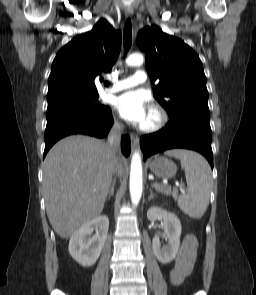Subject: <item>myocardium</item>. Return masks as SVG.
I'll return each mask as SVG.
<instances>
[{"label": "myocardium", "mask_w": 256, "mask_h": 295, "mask_svg": "<svg viewBox=\"0 0 256 295\" xmlns=\"http://www.w3.org/2000/svg\"><path fill=\"white\" fill-rule=\"evenodd\" d=\"M150 113L153 116V120L148 124H143L141 130L145 132H155L161 129L167 122L166 112L159 106L154 105L150 109Z\"/></svg>", "instance_id": "obj_1"}]
</instances>
